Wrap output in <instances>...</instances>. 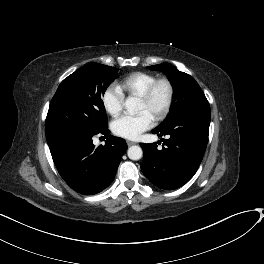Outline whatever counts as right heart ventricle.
Wrapping results in <instances>:
<instances>
[{"label":"right heart ventricle","instance_id":"1","mask_svg":"<svg viewBox=\"0 0 264 264\" xmlns=\"http://www.w3.org/2000/svg\"><path fill=\"white\" fill-rule=\"evenodd\" d=\"M156 79L157 76L152 73L134 72L119 83V88L130 96H140Z\"/></svg>","mask_w":264,"mask_h":264}]
</instances>
